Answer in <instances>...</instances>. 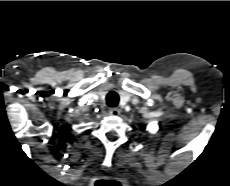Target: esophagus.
<instances>
[{
  "mask_svg": "<svg viewBox=\"0 0 230 186\" xmlns=\"http://www.w3.org/2000/svg\"><path fill=\"white\" fill-rule=\"evenodd\" d=\"M109 113L113 116H119L120 115V109L113 107L110 108Z\"/></svg>",
  "mask_w": 230,
  "mask_h": 186,
  "instance_id": "esophagus-1",
  "label": "esophagus"
}]
</instances>
